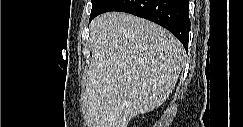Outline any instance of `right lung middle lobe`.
Returning a JSON list of instances; mask_svg holds the SVG:
<instances>
[{
  "label": "right lung middle lobe",
  "mask_w": 243,
  "mask_h": 127,
  "mask_svg": "<svg viewBox=\"0 0 243 127\" xmlns=\"http://www.w3.org/2000/svg\"><path fill=\"white\" fill-rule=\"evenodd\" d=\"M107 0H92L90 20L96 15Z\"/></svg>",
  "instance_id": "dd1d6c3e"
}]
</instances>
